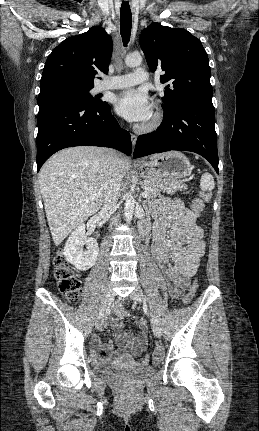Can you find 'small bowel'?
Returning <instances> with one entry per match:
<instances>
[{
	"instance_id": "1",
	"label": "small bowel",
	"mask_w": 259,
	"mask_h": 431,
	"mask_svg": "<svg viewBox=\"0 0 259 431\" xmlns=\"http://www.w3.org/2000/svg\"><path fill=\"white\" fill-rule=\"evenodd\" d=\"M157 220L154 225L152 253L164 276L173 298L183 295L188 279L196 274L205 253V232L198 225L192 209L186 208L181 200L163 198L154 206ZM116 318L111 325L116 331L119 350L113 351V343L102 344L93 341L98 360L106 361L111 357L128 358L141 355L147 344L148 323L144 318H132L120 308L115 310ZM123 319H132L139 328L136 336L127 332Z\"/></svg>"
}]
</instances>
